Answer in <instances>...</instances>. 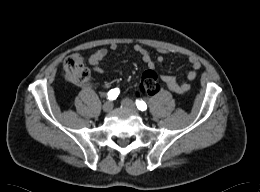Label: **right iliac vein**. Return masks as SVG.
I'll list each match as a JSON object with an SVG mask.
<instances>
[{
  "instance_id": "obj_1",
  "label": "right iliac vein",
  "mask_w": 260,
  "mask_h": 192,
  "mask_svg": "<svg viewBox=\"0 0 260 192\" xmlns=\"http://www.w3.org/2000/svg\"><path fill=\"white\" fill-rule=\"evenodd\" d=\"M111 107H112V104H111L110 102H108V103H106V104L104 105V110H105V111H109V110L111 109Z\"/></svg>"
}]
</instances>
